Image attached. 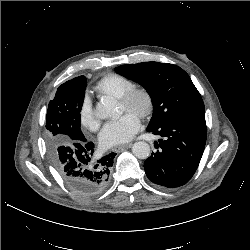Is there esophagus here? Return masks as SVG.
<instances>
[{"label": "esophagus", "instance_id": "1", "mask_svg": "<svg viewBox=\"0 0 250 250\" xmlns=\"http://www.w3.org/2000/svg\"><path fill=\"white\" fill-rule=\"evenodd\" d=\"M131 146H132L131 143H129V144H124V145H119V146L114 147L112 150H113L114 152H120V151H122V150H124V149L130 148Z\"/></svg>", "mask_w": 250, "mask_h": 250}]
</instances>
